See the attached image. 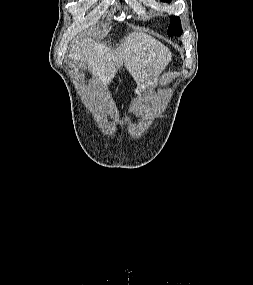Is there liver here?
Listing matches in <instances>:
<instances>
[{
    "mask_svg": "<svg viewBox=\"0 0 253 285\" xmlns=\"http://www.w3.org/2000/svg\"><path fill=\"white\" fill-rule=\"evenodd\" d=\"M117 48L107 43L81 40L75 43L69 58L86 62L92 75L106 88L123 65L137 85L158 75L171 61L170 50L150 35L129 33Z\"/></svg>",
    "mask_w": 253,
    "mask_h": 285,
    "instance_id": "6515ba94",
    "label": "liver"
}]
</instances>
